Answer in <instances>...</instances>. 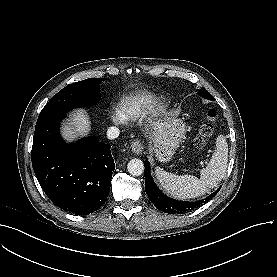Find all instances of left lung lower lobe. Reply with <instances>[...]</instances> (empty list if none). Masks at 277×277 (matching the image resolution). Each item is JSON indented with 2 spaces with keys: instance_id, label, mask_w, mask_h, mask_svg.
Returning a JSON list of instances; mask_svg holds the SVG:
<instances>
[{
  "instance_id": "1",
  "label": "left lung lower lobe",
  "mask_w": 277,
  "mask_h": 277,
  "mask_svg": "<svg viewBox=\"0 0 277 277\" xmlns=\"http://www.w3.org/2000/svg\"><path fill=\"white\" fill-rule=\"evenodd\" d=\"M145 189L150 201L161 211L174 214V213H182L186 211H191L196 209L198 206L206 203L210 198H212L219 191H215L209 197L195 201V202H186V201H178L175 199H171L164 195L161 190L158 189L156 184L154 183L151 174H150V163L145 161Z\"/></svg>"
}]
</instances>
